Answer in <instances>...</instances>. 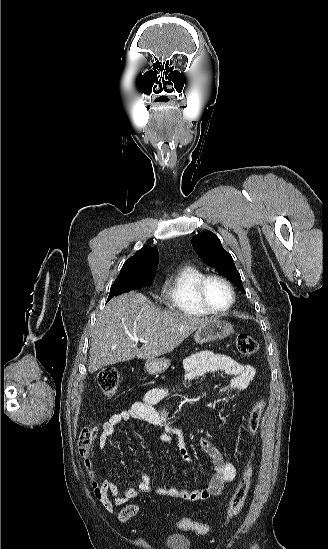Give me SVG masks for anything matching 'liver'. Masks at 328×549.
Here are the masks:
<instances>
[{
  "label": "liver",
  "mask_w": 328,
  "mask_h": 549,
  "mask_svg": "<svg viewBox=\"0 0 328 549\" xmlns=\"http://www.w3.org/2000/svg\"><path fill=\"white\" fill-rule=\"evenodd\" d=\"M209 319L161 311L142 293L130 291L97 313L91 333L89 373L131 359H156L171 353ZM132 337L148 341L140 349Z\"/></svg>",
  "instance_id": "obj_1"
}]
</instances>
